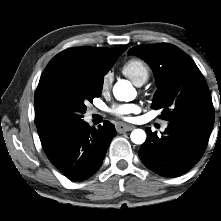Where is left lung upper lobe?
<instances>
[{"mask_svg": "<svg viewBox=\"0 0 221 221\" xmlns=\"http://www.w3.org/2000/svg\"><path fill=\"white\" fill-rule=\"evenodd\" d=\"M129 54L144 59L156 75L158 89L152 108L163 110L160 117L209 135L214 124L212 99L191 57L169 43L135 46Z\"/></svg>", "mask_w": 221, "mask_h": 221, "instance_id": "5c2ea615", "label": "left lung upper lobe"}]
</instances>
